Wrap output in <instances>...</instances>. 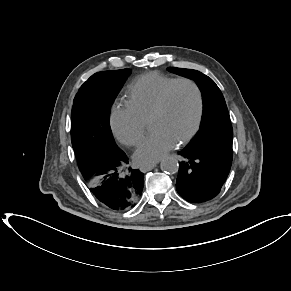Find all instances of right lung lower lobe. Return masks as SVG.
<instances>
[{
	"mask_svg": "<svg viewBox=\"0 0 291 291\" xmlns=\"http://www.w3.org/2000/svg\"><path fill=\"white\" fill-rule=\"evenodd\" d=\"M128 160L123 152L117 158L103 160L90 168L80 169L96 199L115 211L134 207L142 195L144 174L131 167L126 170Z\"/></svg>",
	"mask_w": 291,
	"mask_h": 291,
	"instance_id": "right-lung-lower-lobe-1",
	"label": "right lung lower lobe"
}]
</instances>
